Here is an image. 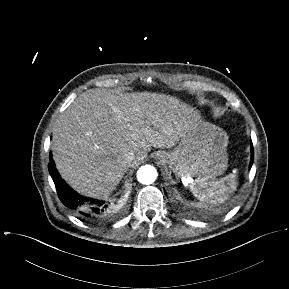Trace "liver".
Here are the masks:
<instances>
[{"label": "liver", "mask_w": 289, "mask_h": 289, "mask_svg": "<svg viewBox=\"0 0 289 289\" xmlns=\"http://www.w3.org/2000/svg\"><path fill=\"white\" fill-rule=\"evenodd\" d=\"M193 112L164 94L88 90L59 116L53 129L56 168L78 193L106 198L128 169L126 154L134 153L139 162L151 147H173Z\"/></svg>", "instance_id": "1"}]
</instances>
